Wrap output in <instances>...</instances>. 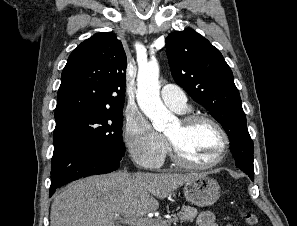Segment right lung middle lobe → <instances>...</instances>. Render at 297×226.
I'll return each mask as SVG.
<instances>
[{
  "mask_svg": "<svg viewBox=\"0 0 297 226\" xmlns=\"http://www.w3.org/2000/svg\"><path fill=\"white\" fill-rule=\"evenodd\" d=\"M122 125V110L79 112L56 120L53 141L83 140L124 152Z\"/></svg>",
  "mask_w": 297,
  "mask_h": 226,
  "instance_id": "dd1d6c3e",
  "label": "right lung middle lobe"
}]
</instances>
